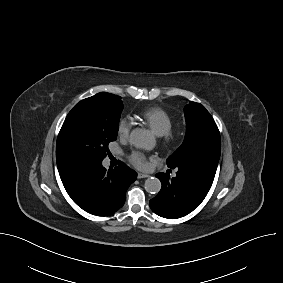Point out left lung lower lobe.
<instances>
[{"instance_id":"1","label":"left lung lower lobe","mask_w":283,"mask_h":283,"mask_svg":"<svg viewBox=\"0 0 283 283\" xmlns=\"http://www.w3.org/2000/svg\"><path fill=\"white\" fill-rule=\"evenodd\" d=\"M162 188L150 200V208L157 215L176 219L192 212L205 198L212 184L199 175L178 170L176 177L170 179L165 173H158Z\"/></svg>"}]
</instances>
